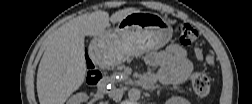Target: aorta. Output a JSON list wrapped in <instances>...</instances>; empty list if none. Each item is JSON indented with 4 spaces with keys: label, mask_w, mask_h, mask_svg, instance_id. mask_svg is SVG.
Segmentation results:
<instances>
[{
    "label": "aorta",
    "mask_w": 252,
    "mask_h": 104,
    "mask_svg": "<svg viewBox=\"0 0 252 104\" xmlns=\"http://www.w3.org/2000/svg\"><path fill=\"white\" fill-rule=\"evenodd\" d=\"M141 92L137 88H132L128 91V98L130 101H138L140 99Z\"/></svg>",
    "instance_id": "obj_1"
}]
</instances>
